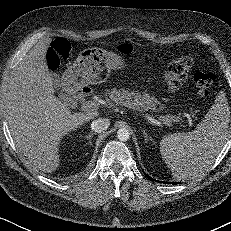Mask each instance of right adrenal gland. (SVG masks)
Instances as JSON below:
<instances>
[{"label":"right adrenal gland","mask_w":231,"mask_h":231,"mask_svg":"<svg viewBox=\"0 0 231 231\" xmlns=\"http://www.w3.org/2000/svg\"><path fill=\"white\" fill-rule=\"evenodd\" d=\"M95 133H90L89 135H86L85 138L89 140V144L92 145L91 138L93 137Z\"/></svg>","instance_id":"right-adrenal-gland-1"}]
</instances>
